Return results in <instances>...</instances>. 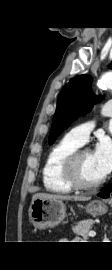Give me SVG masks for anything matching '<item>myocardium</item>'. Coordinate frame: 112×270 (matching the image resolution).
Wrapping results in <instances>:
<instances>
[{
    "instance_id": "myocardium-1",
    "label": "myocardium",
    "mask_w": 112,
    "mask_h": 270,
    "mask_svg": "<svg viewBox=\"0 0 112 270\" xmlns=\"http://www.w3.org/2000/svg\"><path fill=\"white\" fill-rule=\"evenodd\" d=\"M87 150L78 148L70 153L63 160L61 165V172L66 183L75 190L88 191L100 187L105 182V177L94 183H84L78 172L79 160L84 152Z\"/></svg>"
}]
</instances>
